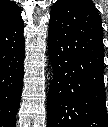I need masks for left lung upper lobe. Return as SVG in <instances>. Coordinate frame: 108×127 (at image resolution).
<instances>
[{
	"instance_id": "left-lung-upper-lobe-1",
	"label": "left lung upper lobe",
	"mask_w": 108,
	"mask_h": 127,
	"mask_svg": "<svg viewBox=\"0 0 108 127\" xmlns=\"http://www.w3.org/2000/svg\"><path fill=\"white\" fill-rule=\"evenodd\" d=\"M65 74H66V76L68 78V82L70 83L71 87H73L74 86V80H76L75 79V76H76V67L73 66V65H70L68 67V69L66 70Z\"/></svg>"
}]
</instances>
